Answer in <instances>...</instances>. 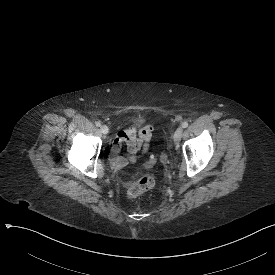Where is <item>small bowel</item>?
I'll use <instances>...</instances> for the list:
<instances>
[{
    "label": "small bowel",
    "instance_id": "obj_1",
    "mask_svg": "<svg viewBox=\"0 0 275 275\" xmlns=\"http://www.w3.org/2000/svg\"><path fill=\"white\" fill-rule=\"evenodd\" d=\"M153 129V125L148 123L140 127H128L125 131L117 130L111 151L112 164L116 168H122L129 162H134L139 149L143 148V150H146L148 147V141L151 139ZM124 146L127 150V156L120 154Z\"/></svg>",
    "mask_w": 275,
    "mask_h": 275
}]
</instances>
